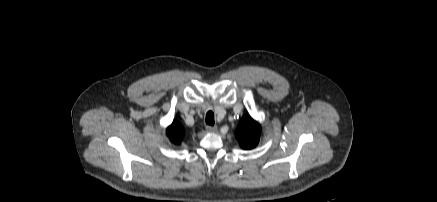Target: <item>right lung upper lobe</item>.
Returning a JSON list of instances; mask_svg holds the SVG:
<instances>
[{"label":"right lung upper lobe","mask_w":437,"mask_h":202,"mask_svg":"<svg viewBox=\"0 0 437 202\" xmlns=\"http://www.w3.org/2000/svg\"><path fill=\"white\" fill-rule=\"evenodd\" d=\"M167 135L173 143L179 144L183 137V128L181 124L177 121H173V123L167 128Z\"/></svg>","instance_id":"1"}]
</instances>
